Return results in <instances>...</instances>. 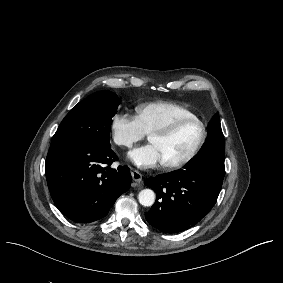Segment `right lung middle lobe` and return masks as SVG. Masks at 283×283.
Instances as JSON below:
<instances>
[{"instance_id":"1","label":"right lung middle lobe","mask_w":283,"mask_h":283,"mask_svg":"<svg viewBox=\"0 0 283 283\" xmlns=\"http://www.w3.org/2000/svg\"><path fill=\"white\" fill-rule=\"evenodd\" d=\"M119 100L110 91L96 92L79 102L62 120L52 143L89 142L110 148L112 117Z\"/></svg>"}]
</instances>
